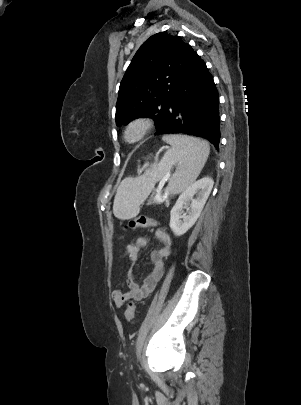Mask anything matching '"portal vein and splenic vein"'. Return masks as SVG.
I'll list each match as a JSON object with an SVG mask.
<instances>
[{
  "label": "portal vein and splenic vein",
  "mask_w": 301,
  "mask_h": 405,
  "mask_svg": "<svg viewBox=\"0 0 301 405\" xmlns=\"http://www.w3.org/2000/svg\"><path fill=\"white\" fill-rule=\"evenodd\" d=\"M166 180H167V179H163L162 183H164ZM153 200H154L155 202H162V201H163V198H162V196H161V190H158V191H157V193H156V195H155V197H154Z\"/></svg>",
  "instance_id": "obj_1"
}]
</instances>
